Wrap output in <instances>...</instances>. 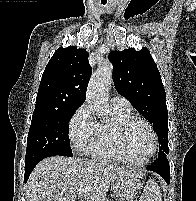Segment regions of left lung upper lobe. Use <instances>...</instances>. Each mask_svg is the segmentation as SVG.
Returning <instances> with one entry per match:
<instances>
[{
    "mask_svg": "<svg viewBox=\"0 0 196 201\" xmlns=\"http://www.w3.org/2000/svg\"><path fill=\"white\" fill-rule=\"evenodd\" d=\"M114 85L149 120L159 138L158 158L168 154V111L161 76L149 50L113 51Z\"/></svg>",
    "mask_w": 196,
    "mask_h": 201,
    "instance_id": "1",
    "label": "left lung upper lobe"
}]
</instances>
